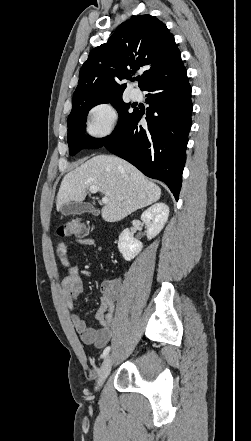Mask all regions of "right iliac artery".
<instances>
[{
	"label": "right iliac artery",
	"instance_id": "1",
	"mask_svg": "<svg viewBox=\"0 0 251 441\" xmlns=\"http://www.w3.org/2000/svg\"><path fill=\"white\" fill-rule=\"evenodd\" d=\"M110 351V346L106 347L103 351L102 358H105Z\"/></svg>",
	"mask_w": 251,
	"mask_h": 441
}]
</instances>
